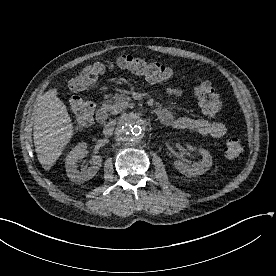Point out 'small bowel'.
<instances>
[{
    "mask_svg": "<svg viewBox=\"0 0 276 276\" xmlns=\"http://www.w3.org/2000/svg\"><path fill=\"white\" fill-rule=\"evenodd\" d=\"M166 91L170 95L176 97L183 96V90L179 87L168 86ZM164 110L166 117L161 120L163 124L171 126L175 129H188L195 131L201 135L209 136L213 138H221L226 132L227 128L225 124L219 121L204 119V118H190L184 116H176L170 110Z\"/></svg>",
    "mask_w": 276,
    "mask_h": 276,
    "instance_id": "1",
    "label": "small bowel"
}]
</instances>
